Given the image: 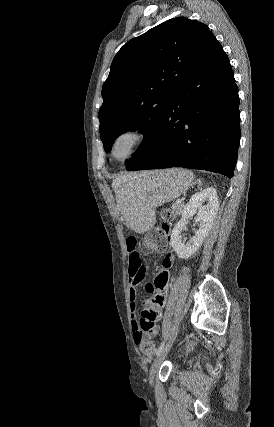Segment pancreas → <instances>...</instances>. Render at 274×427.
Instances as JSON below:
<instances>
[{
	"mask_svg": "<svg viewBox=\"0 0 274 427\" xmlns=\"http://www.w3.org/2000/svg\"><path fill=\"white\" fill-rule=\"evenodd\" d=\"M184 208V204H173L172 206V212L175 215H180L182 210Z\"/></svg>",
	"mask_w": 274,
	"mask_h": 427,
	"instance_id": "cf45deb5",
	"label": "pancreas"
}]
</instances>
